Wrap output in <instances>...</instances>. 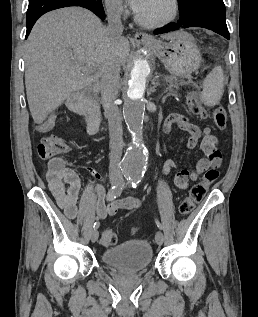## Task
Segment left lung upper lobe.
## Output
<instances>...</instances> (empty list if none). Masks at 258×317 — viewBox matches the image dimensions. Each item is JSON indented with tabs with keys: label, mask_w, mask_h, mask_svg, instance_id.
<instances>
[{
	"label": "left lung upper lobe",
	"mask_w": 258,
	"mask_h": 317,
	"mask_svg": "<svg viewBox=\"0 0 258 317\" xmlns=\"http://www.w3.org/2000/svg\"><path fill=\"white\" fill-rule=\"evenodd\" d=\"M200 1L202 0H178L180 18L183 19L189 16L193 11V7Z\"/></svg>",
	"instance_id": "5c2ea615"
}]
</instances>
